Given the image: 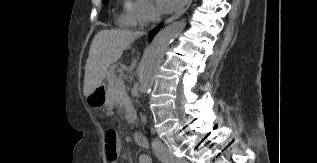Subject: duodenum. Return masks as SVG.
Instances as JSON below:
<instances>
[{
	"label": "duodenum",
	"mask_w": 317,
	"mask_h": 163,
	"mask_svg": "<svg viewBox=\"0 0 317 163\" xmlns=\"http://www.w3.org/2000/svg\"><path fill=\"white\" fill-rule=\"evenodd\" d=\"M133 138H134V141H135V143L137 145H139L141 147H146L147 146L146 137H145V135L142 132H140V131L134 132Z\"/></svg>",
	"instance_id": "1"
}]
</instances>
